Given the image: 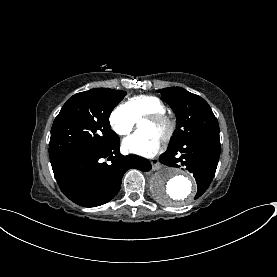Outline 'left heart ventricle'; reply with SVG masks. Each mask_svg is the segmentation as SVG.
Wrapping results in <instances>:
<instances>
[{"mask_svg":"<svg viewBox=\"0 0 277 277\" xmlns=\"http://www.w3.org/2000/svg\"><path fill=\"white\" fill-rule=\"evenodd\" d=\"M139 130L150 132L158 137L164 134L165 126L162 123L151 121L144 118L139 124Z\"/></svg>","mask_w":277,"mask_h":277,"instance_id":"1","label":"left heart ventricle"}]
</instances>
